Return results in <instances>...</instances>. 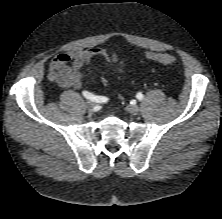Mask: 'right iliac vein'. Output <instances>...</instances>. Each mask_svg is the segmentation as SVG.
I'll use <instances>...</instances> for the list:
<instances>
[{
    "label": "right iliac vein",
    "instance_id": "1",
    "mask_svg": "<svg viewBox=\"0 0 222 219\" xmlns=\"http://www.w3.org/2000/svg\"><path fill=\"white\" fill-rule=\"evenodd\" d=\"M86 106L89 108V109H93L95 107V102L93 101H87L86 102Z\"/></svg>",
    "mask_w": 222,
    "mask_h": 219
}]
</instances>
